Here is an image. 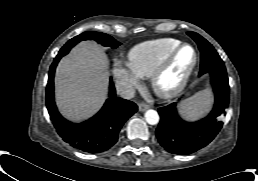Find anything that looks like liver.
<instances>
[{
	"instance_id": "liver-1",
	"label": "liver",
	"mask_w": 258,
	"mask_h": 181,
	"mask_svg": "<svg viewBox=\"0 0 258 181\" xmlns=\"http://www.w3.org/2000/svg\"><path fill=\"white\" fill-rule=\"evenodd\" d=\"M108 59L95 42H81L63 58L55 74V95L60 112L83 120L103 105L108 91Z\"/></svg>"
}]
</instances>
